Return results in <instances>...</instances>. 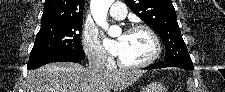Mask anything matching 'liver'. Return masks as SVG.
I'll use <instances>...</instances> for the list:
<instances>
[{
    "label": "liver",
    "instance_id": "1",
    "mask_svg": "<svg viewBox=\"0 0 225 92\" xmlns=\"http://www.w3.org/2000/svg\"><path fill=\"white\" fill-rule=\"evenodd\" d=\"M144 73L135 69L94 72L78 63H51L28 72L24 92H121Z\"/></svg>",
    "mask_w": 225,
    "mask_h": 92
}]
</instances>
